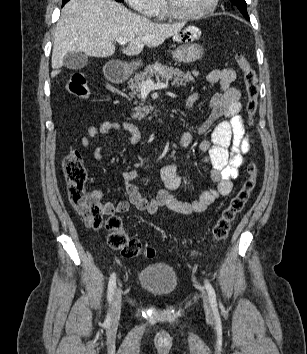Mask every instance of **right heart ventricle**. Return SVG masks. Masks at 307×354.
Here are the masks:
<instances>
[{"instance_id": "e07e8e85", "label": "right heart ventricle", "mask_w": 307, "mask_h": 354, "mask_svg": "<svg viewBox=\"0 0 307 354\" xmlns=\"http://www.w3.org/2000/svg\"><path fill=\"white\" fill-rule=\"evenodd\" d=\"M154 16H156L157 19H159V20H163V19H165L167 17V15H166V13L164 11L162 2H160L159 8L157 9V11L154 14Z\"/></svg>"}]
</instances>
